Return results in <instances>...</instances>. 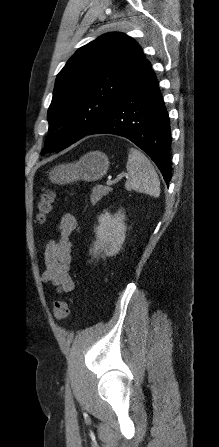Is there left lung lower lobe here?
Instances as JSON below:
<instances>
[{"instance_id":"obj_1","label":"left lung lower lobe","mask_w":219,"mask_h":447,"mask_svg":"<svg viewBox=\"0 0 219 447\" xmlns=\"http://www.w3.org/2000/svg\"><path fill=\"white\" fill-rule=\"evenodd\" d=\"M93 134H114L131 140L155 162L165 182H170L169 117L148 60L144 61L132 82L87 133Z\"/></svg>"}]
</instances>
